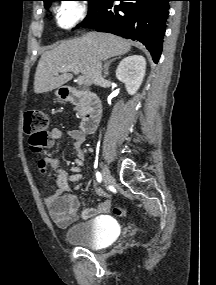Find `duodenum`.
<instances>
[{"label": "duodenum", "mask_w": 216, "mask_h": 285, "mask_svg": "<svg viewBox=\"0 0 216 285\" xmlns=\"http://www.w3.org/2000/svg\"><path fill=\"white\" fill-rule=\"evenodd\" d=\"M61 96L67 102L83 105L84 113L81 128L85 133L93 132L97 128L102 112V105L98 96L92 92L70 86L61 89Z\"/></svg>", "instance_id": "duodenum-1"}]
</instances>
